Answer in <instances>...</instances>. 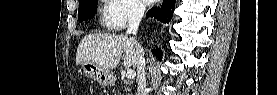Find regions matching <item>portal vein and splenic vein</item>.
<instances>
[{
	"mask_svg": "<svg viewBox=\"0 0 277 95\" xmlns=\"http://www.w3.org/2000/svg\"><path fill=\"white\" fill-rule=\"evenodd\" d=\"M135 76H136V73H135L134 70H128L126 72V78L127 79H133V78H135Z\"/></svg>",
	"mask_w": 277,
	"mask_h": 95,
	"instance_id": "obj_1",
	"label": "portal vein and splenic vein"
}]
</instances>
